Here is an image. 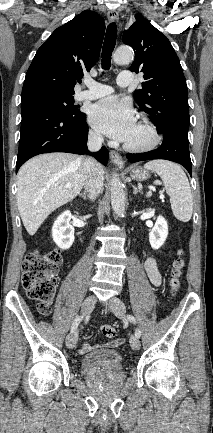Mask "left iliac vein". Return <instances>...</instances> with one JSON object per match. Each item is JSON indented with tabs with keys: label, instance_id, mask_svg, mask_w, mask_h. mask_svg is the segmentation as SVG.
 I'll return each mask as SVG.
<instances>
[{
	"label": "left iliac vein",
	"instance_id": "obj_1",
	"mask_svg": "<svg viewBox=\"0 0 213 433\" xmlns=\"http://www.w3.org/2000/svg\"><path fill=\"white\" fill-rule=\"evenodd\" d=\"M106 306L118 317L124 318L126 313V307L124 303L117 297H113L106 304ZM130 346L133 350H139L140 348V340L136 335H131L130 337Z\"/></svg>",
	"mask_w": 213,
	"mask_h": 433
}]
</instances>
